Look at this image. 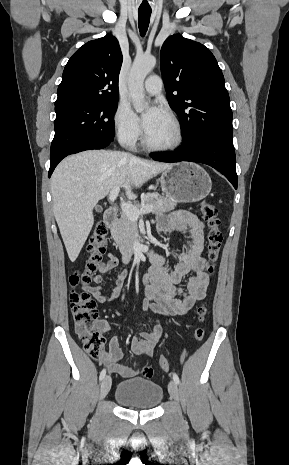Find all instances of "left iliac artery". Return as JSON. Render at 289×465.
Listing matches in <instances>:
<instances>
[{
	"label": "left iliac artery",
	"instance_id": "44dca946",
	"mask_svg": "<svg viewBox=\"0 0 289 465\" xmlns=\"http://www.w3.org/2000/svg\"><path fill=\"white\" fill-rule=\"evenodd\" d=\"M173 380L176 382V384H179V377L176 373H173Z\"/></svg>",
	"mask_w": 289,
	"mask_h": 465
}]
</instances>
